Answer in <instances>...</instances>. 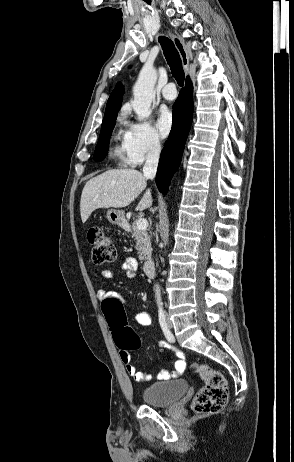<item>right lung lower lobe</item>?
<instances>
[{
	"label": "right lung lower lobe",
	"instance_id": "1",
	"mask_svg": "<svg viewBox=\"0 0 294 462\" xmlns=\"http://www.w3.org/2000/svg\"><path fill=\"white\" fill-rule=\"evenodd\" d=\"M193 86L187 77L185 88L181 90L173 105V124L165 144L156 174V184L159 190L166 194L173 174L178 169L184 145L191 127L193 115Z\"/></svg>",
	"mask_w": 294,
	"mask_h": 462
}]
</instances>
